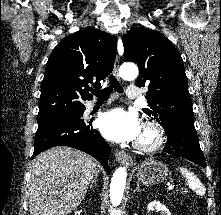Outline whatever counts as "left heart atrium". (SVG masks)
Returning a JSON list of instances; mask_svg holds the SVG:
<instances>
[{
	"mask_svg": "<svg viewBox=\"0 0 221 215\" xmlns=\"http://www.w3.org/2000/svg\"><path fill=\"white\" fill-rule=\"evenodd\" d=\"M98 127L107 139L116 142L133 141L141 134L137 115L121 108L104 113L98 120Z\"/></svg>",
	"mask_w": 221,
	"mask_h": 215,
	"instance_id": "39dd6f15",
	"label": "left heart atrium"
}]
</instances>
